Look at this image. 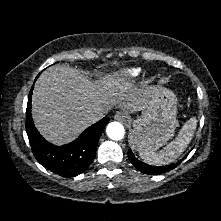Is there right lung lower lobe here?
Here are the masks:
<instances>
[{"label": "right lung lower lobe", "mask_w": 221, "mask_h": 221, "mask_svg": "<svg viewBox=\"0 0 221 221\" xmlns=\"http://www.w3.org/2000/svg\"><path fill=\"white\" fill-rule=\"evenodd\" d=\"M32 90L33 87L28 96L26 132L35 158L42 166L63 177L83 173L95 158L99 138L109 118L105 117L87 128L75 141L55 146L46 141L34 126L31 116Z\"/></svg>", "instance_id": "98d812e1"}]
</instances>
